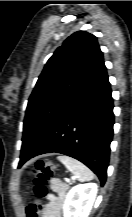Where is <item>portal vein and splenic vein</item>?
I'll return each instance as SVG.
<instances>
[{
    "label": "portal vein and splenic vein",
    "mask_w": 132,
    "mask_h": 217,
    "mask_svg": "<svg viewBox=\"0 0 132 217\" xmlns=\"http://www.w3.org/2000/svg\"><path fill=\"white\" fill-rule=\"evenodd\" d=\"M65 181H66V182H70V179H69V178H65Z\"/></svg>",
    "instance_id": "1"
}]
</instances>
